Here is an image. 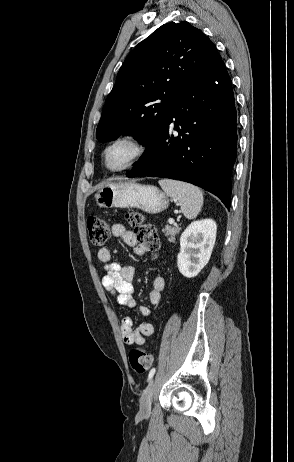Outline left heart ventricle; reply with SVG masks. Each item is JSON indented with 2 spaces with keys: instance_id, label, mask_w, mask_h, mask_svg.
Listing matches in <instances>:
<instances>
[{
  "instance_id": "left-heart-ventricle-1",
  "label": "left heart ventricle",
  "mask_w": 294,
  "mask_h": 462,
  "mask_svg": "<svg viewBox=\"0 0 294 462\" xmlns=\"http://www.w3.org/2000/svg\"><path fill=\"white\" fill-rule=\"evenodd\" d=\"M134 149L128 143H119L107 154V162L111 167L123 165L132 155Z\"/></svg>"
}]
</instances>
